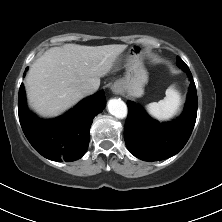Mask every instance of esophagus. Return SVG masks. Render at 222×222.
Here are the masks:
<instances>
[{
    "label": "esophagus",
    "instance_id": "1",
    "mask_svg": "<svg viewBox=\"0 0 222 222\" xmlns=\"http://www.w3.org/2000/svg\"><path fill=\"white\" fill-rule=\"evenodd\" d=\"M113 91L114 92H119V89L118 88H114Z\"/></svg>",
    "mask_w": 222,
    "mask_h": 222
}]
</instances>
